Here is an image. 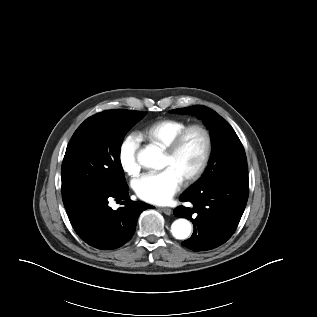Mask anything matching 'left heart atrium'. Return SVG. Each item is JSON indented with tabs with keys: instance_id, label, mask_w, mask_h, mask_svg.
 Returning a JSON list of instances; mask_svg holds the SVG:
<instances>
[{
	"instance_id": "1",
	"label": "left heart atrium",
	"mask_w": 317,
	"mask_h": 317,
	"mask_svg": "<svg viewBox=\"0 0 317 317\" xmlns=\"http://www.w3.org/2000/svg\"><path fill=\"white\" fill-rule=\"evenodd\" d=\"M182 177L173 169L166 168L158 173H148L134 182L136 195L149 203L166 204L180 189Z\"/></svg>"
}]
</instances>
